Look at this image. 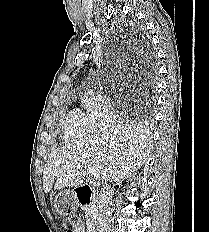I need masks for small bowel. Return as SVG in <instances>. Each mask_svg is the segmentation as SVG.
<instances>
[{
  "label": "small bowel",
  "instance_id": "obj_1",
  "mask_svg": "<svg viewBox=\"0 0 209 232\" xmlns=\"http://www.w3.org/2000/svg\"><path fill=\"white\" fill-rule=\"evenodd\" d=\"M71 225H72V230H70V232H85V226L82 223V221L80 220L73 221Z\"/></svg>",
  "mask_w": 209,
  "mask_h": 232
}]
</instances>
